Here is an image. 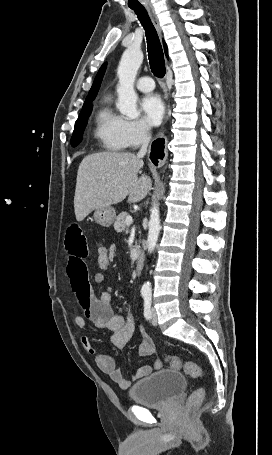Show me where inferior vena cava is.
<instances>
[{"label": "inferior vena cava", "instance_id": "inferior-vena-cava-1", "mask_svg": "<svg viewBox=\"0 0 272 455\" xmlns=\"http://www.w3.org/2000/svg\"><path fill=\"white\" fill-rule=\"evenodd\" d=\"M150 140H151L150 128L148 126H145L143 137H142V146L137 154V157H139V158L144 157V155L147 152V148H148Z\"/></svg>", "mask_w": 272, "mask_h": 455}]
</instances>
